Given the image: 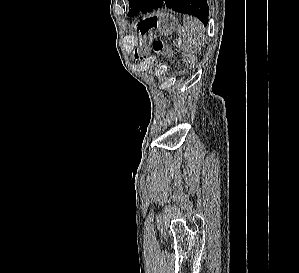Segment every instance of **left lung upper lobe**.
Segmentation results:
<instances>
[{"mask_svg":"<svg viewBox=\"0 0 299 273\" xmlns=\"http://www.w3.org/2000/svg\"><path fill=\"white\" fill-rule=\"evenodd\" d=\"M146 0H129L128 16L138 15L144 6Z\"/></svg>","mask_w":299,"mask_h":273,"instance_id":"left-lung-upper-lobe-1","label":"left lung upper lobe"}]
</instances>
